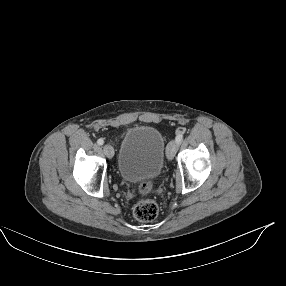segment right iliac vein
Returning a JSON list of instances; mask_svg holds the SVG:
<instances>
[{
    "label": "right iliac vein",
    "mask_w": 286,
    "mask_h": 286,
    "mask_svg": "<svg viewBox=\"0 0 286 286\" xmlns=\"http://www.w3.org/2000/svg\"><path fill=\"white\" fill-rule=\"evenodd\" d=\"M103 150L108 158L111 159L114 156V148L110 144L104 145Z\"/></svg>",
    "instance_id": "right-iliac-vein-1"
}]
</instances>
